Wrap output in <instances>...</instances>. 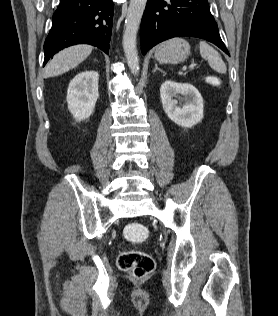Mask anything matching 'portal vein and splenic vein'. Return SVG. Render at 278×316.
<instances>
[{"label":"portal vein and splenic vein","mask_w":278,"mask_h":316,"mask_svg":"<svg viewBox=\"0 0 278 316\" xmlns=\"http://www.w3.org/2000/svg\"><path fill=\"white\" fill-rule=\"evenodd\" d=\"M196 66H197V64L193 63V64H191V65L189 66V69H193V68L196 67Z\"/></svg>","instance_id":"portal-vein-and-splenic-vein-1"}]
</instances>
